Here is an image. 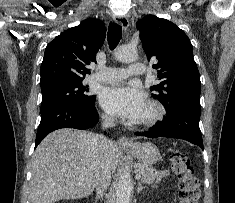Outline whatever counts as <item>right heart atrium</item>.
I'll use <instances>...</instances> for the list:
<instances>
[{"mask_svg": "<svg viewBox=\"0 0 235 203\" xmlns=\"http://www.w3.org/2000/svg\"><path fill=\"white\" fill-rule=\"evenodd\" d=\"M103 118L108 122L111 121V117L108 115H104Z\"/></svg>", "mask_w": 235, "mask_h": 203, "instance_id": "d8ad5b80", "label": "right heart atrium"}]
</instances>
